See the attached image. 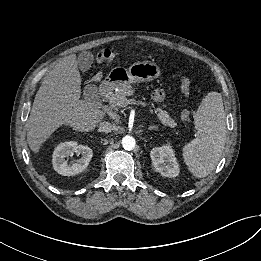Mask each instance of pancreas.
<instances>
[{
    "instance_id": "obj_1",
    "label": "pancreas",
    "mask_w": 261,
    "mask_h": 261,
    "mask_svg": "<svg viewBox=\"0 0 261 261\" xmlns=\"http://www.w3.org/2000/svg\"><path fill=\"white\" fill-rule=\"evenodd\" d=\"M135 89L131 85L120 86L114 93H111L107 98L109 103L113 108L120 107L119 103L127 100V96L134 94ZM155 114L157 115L159 121L166 127L174 129L177 126V123L174 119L171 118L169 113L166 110L158 107L155 109Z\"/></svg>"
}]
</instances>
